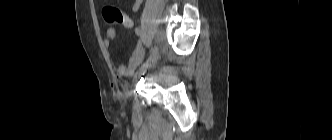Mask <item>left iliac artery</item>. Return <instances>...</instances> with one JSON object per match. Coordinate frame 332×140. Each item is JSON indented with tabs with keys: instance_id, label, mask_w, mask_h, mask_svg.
<instances>
[{
	"instance_id": "44dca946",
	"label": "left iliac artery",
	"mask_w": 332,
	"mask_h": 140,
	"mask_svg": "<svg viewBox=\"0 0 332 140\" xmlns=\"http://www.w3.org/2000/svg\"><path fill=\"white\" fill-rule=\"evenodd\" d=\"M157 52H158V48H157V46L155 45V46L152 48V50H151V52H150V55H149L148 59H147L146 62L142 65L141 68L145 67V66L151 61V59L155 56V54H156Z\"/></svg>"
}]
</instances>
